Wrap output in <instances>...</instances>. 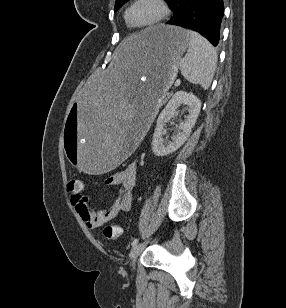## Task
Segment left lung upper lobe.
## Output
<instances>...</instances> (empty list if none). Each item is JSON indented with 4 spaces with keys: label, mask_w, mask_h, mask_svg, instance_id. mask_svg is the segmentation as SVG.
<instances>
[{
    "label": "left lung upper lobe",
    "mask_w": 286,
    "mask_h": 308,
    "mask_svg": "<svg viewBox=\"0 0 286 308\" xmlns=\"http://www.w3.org/2000/svg\"><path fill=\"white\" fill-rule=\"evenodd\" d=\"M128 0H116L114 11H117L124 3H126ZM168 3V6H170L172 0H165Z\"/></svg>",
    "instance_id": "1"
}]
</instances>
